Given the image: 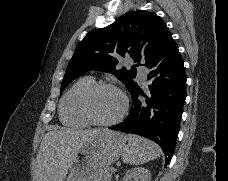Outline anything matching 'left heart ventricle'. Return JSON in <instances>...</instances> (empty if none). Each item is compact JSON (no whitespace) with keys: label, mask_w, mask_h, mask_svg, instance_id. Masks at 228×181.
<instances>
[{"label":"left heart ventricle","mask_w":228,"mask_h":181,"mask_svg":"<svg viewBox=\"0 0 228 181\" xmlns=\"http://www.w3.org/2000/svg\"><path fill=\"white\" fill-rule=\"evenodd\" d=\"M121 95L113 88H99L95 91L89 110L98 120H108L115 117L122 109Z\"/></svg>","instance_id":"obj_1"}]
</instances>
